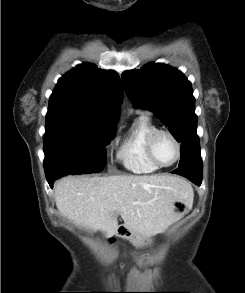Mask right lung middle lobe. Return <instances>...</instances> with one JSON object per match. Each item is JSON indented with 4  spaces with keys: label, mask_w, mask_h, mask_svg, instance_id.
<instances>
[{
    "label": "right lung middle lobe",
    "mask_w": 245,
    "mask_h": 293,
    "mask_svg": "<svg viewBox=\"0 0 245 293\" xmlns=\"http://www.w3.org/2000/svg\"><path fill=\"white\" fill-rule=\"evenodd\" d=\"M114 127L70 119H46L44 169L47 180L102 171L106 165L104 146L113 137Z\"/></svg>",
    "instance_id": "1"
}]
</instances>
